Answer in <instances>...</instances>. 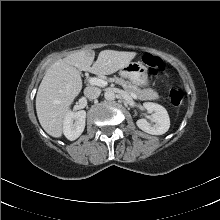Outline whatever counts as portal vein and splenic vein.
I'll use <instances>...</instances> for the list:
<instances>
[{"mask_svg": "<svg viewBox=\"0 0 220 220\" xmlns=\"http://www.w3.org/2000/svg\"><path fill=\"white\" fill-rule=\"evenodd\" d=\"M89 83L91 85H96V86H101V87H104L106 85V81L102 80V79H99V78H96V77H91L89 79ZM130 95L134 98V99H137V96L136 94L134 93H130Z\"/></svg>", "mask_w": 220, "mask_h": 220, "instance_id": "portal-vein-and-splenic-vein-1", "label": "portal vein and splenic vein"}]
</instances>
